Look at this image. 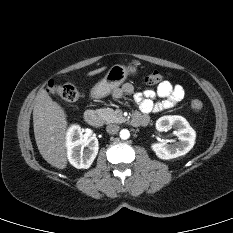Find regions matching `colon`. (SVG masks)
I'll return each mask as SVG.
<instances>
[{"instance_id": "obj_1", "label": "colon", "mask_w": 233, "mask_h": 233, "mask_svg": "<svg viewBox=\"0 0 233 233\" xmlns=\"http://www.w3.org/2000/svg\"><path fill=\"white\" fill-rule=\"evenodd\" d=\"M166 81V76L159 71L154 70L145 77V82L149 85H159ZM47 91L55 96L60 97L67 102H75L82 97L81 92L75 85L70 82H55L50 81L47 87ZM203 107V102L199 99H194L191 102V108L194 111H200Z\"/></svg>"}]
</instances>
